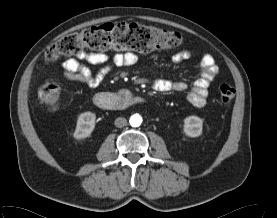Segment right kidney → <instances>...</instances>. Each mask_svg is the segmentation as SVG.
I'll use <instances>...</instances> for the list:
<instances>
[{"label": "right kidney", "mask_w": 277, "mask_h": 218, "mask_svg": "<svg viewBox=\"0 0 277 218\" xmlns=\"http://www.w3.org/2000/svg\"><path fill=\"white\" fill-rule=\"evenodd\" d=\"M95 119L96 115L92 112L81 113L78 116L74 138L76 140H82L90 137L92 131L95 128Z\"/></svg>", "instance_id": "ca27d5eb"}]
</instances>
